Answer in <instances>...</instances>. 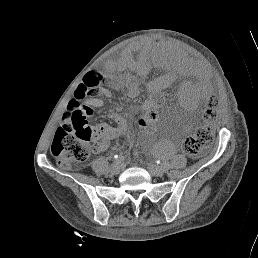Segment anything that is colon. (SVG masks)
Segmentation results:
<instances>
[{
  "label": "colon",
  "instance_id": "colon-1",
  "mask_svg": "<svg viewBox=\"0 0 258 258\" xmlns=\"http://www.w3.org/2000/svg\"><path fill=\"white\" fill-rule=\"evenodd\" d=\"M103 76L98 72H88L84 83L76 90L75 98L68 104V112L62 125L56 131L51 146V152L61 168L69 169L78 165L89 157L94 148V141L99 136V128L89 124L86 110L79 101L89 94H94L93 87L101 83ZM218 99L211 97L206 105L204 119L210 122L214 118ZM214 141V134L210 127H200L183 142V150L190 156L199 155Z\"/></svg>",
  "mask_w": 258,
  "mask_h": 258
}]
</instances>
